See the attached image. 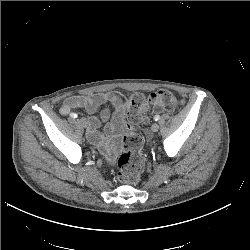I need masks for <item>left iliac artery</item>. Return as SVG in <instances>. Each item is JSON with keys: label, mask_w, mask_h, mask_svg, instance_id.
<instances>
[{"label": "left iliac artery", "mask_w": 250, "mask_h": 250, "mask_svg": "<svg viewBox=\"0 0 250 250\" xmlns=\"http://www.w3.org/2000/svg\"><path fill=\"white\" fill-rule=\"evenodd\" d=\"M159 119H160V116H159V115H155V116H154V120H155V121H158Z\"/></svg>", "instance_id": "left-iliac-artery-1"}]
</instances>
